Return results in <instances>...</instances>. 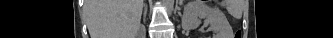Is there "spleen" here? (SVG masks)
<instances>
[{
  "instance_id": "3e777b00",
  "label": "spleen",
  "mask_w": 333,
  "mask_h": 38,
  "mask_svg": "<svg viewBox=\"0 0 333 38\" xmlns=\"http://www.w3.org/2000/svg\"><path fill=\"white\" fill-rule=\"evenodd\" d=\"M228 9L231 11V13H233V14H235L236 13V11L232 8V6H228Z\"/></svg>"
}]
</instances>
